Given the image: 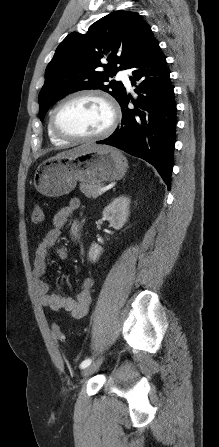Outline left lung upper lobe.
<instances>
[{"label": "left lung upper lobe", "instance_id": "1", "mask_svg": "<svg viewBox=\"0 0 219 447\" xmlns=\"http://www.w3.org/2000/svg\"><path fill=\"white\" fill-rule=\"evenodd\" d=\"M150 35L151 28L140 15L123 10L96 21L86 34H69L46 68L39 93L41 121L51 105L79 90L101 89L120 102L126 90L121 82H109V77L127 68Z\"/></svg>", "mask_w": 219, "mask_h": 447}]
</instances>
